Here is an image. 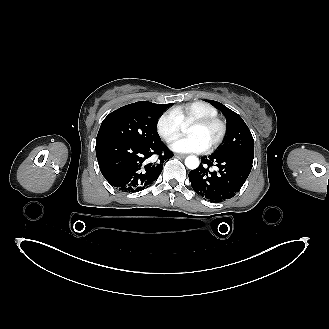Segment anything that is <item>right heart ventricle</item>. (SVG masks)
I'll return each instance as SVG.
<instances>
[{
  "mask_svg": "<svg viewBox=\"0 0 329 329\" xmlns=\"http://www.w3.org/2000/svg\"><path fill=\"white\" fill-rule=\"evenodd\" d=\"M181 124L189 123L200 117H215L218 111L212 105L203 101H194L173 109Z\"/></svg>",
  "mask_w": 329,
  "mask_h": 329,
  "instance_id": "right-heart-ventricle-1",
  "label": "right heart ventricle"
}]
</instances>
